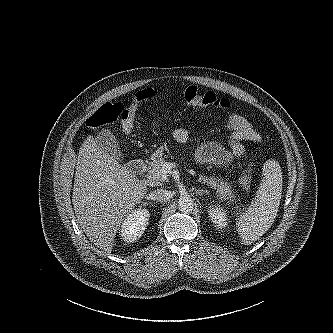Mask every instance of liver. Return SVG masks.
Returning <instances> with one entry per match:
<instances>
[{"label": "liver", "instance_id": "liver-1", "mask_svg": "<svg viewBox=\"0 0 333 333\" xmlns=\"http://www.w3.org/2000/svg\"><path fill=\"white\" fill-rule=\"evenodd\" d=\"M147 193V183L104 152L93 137L79 149L72 195L83 232L105 255L114 246L116 232Z\"/></svg>", "mask_w": 333, "mask_h": 333}]
</instances>
